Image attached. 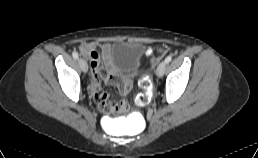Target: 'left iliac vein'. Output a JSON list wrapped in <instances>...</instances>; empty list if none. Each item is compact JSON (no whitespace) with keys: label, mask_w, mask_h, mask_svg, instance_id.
<instances>
[{"label":"left iliac vein","mask_w":258,"mask_h":158,"mask_svg":"<svg viewBox=\"0 0 258 158\" xmlns=\"http://www.w3.org/2000/svg\"><path fill=\"white\" fill-rule=\"evenodd\" d=\"M165 68H166L165 62H162L159 64L157 71H156L158 77H162L164 75Z\"/></svg>","instance_id":"obj_1"}]
</instances>
